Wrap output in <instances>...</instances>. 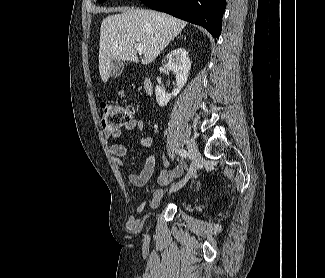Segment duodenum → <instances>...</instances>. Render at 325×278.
<instances>
[{"label":"duodenum","instance_id":"410a0bca","mask_svg":"<svg viewBox=\"0 0 325 278\" xmlns=\"http://www.w3.org/2000/svg\"><path fill=\"white\" fill-rule=\"evenodd\" d=\"M144 88H145V90H146V92L148 94H151L152 93V91H153V85H152L151 80H149V79L145 80V82H144Z\"/></svg>","mask_w":325,"mask_h":278}]
</instances>
